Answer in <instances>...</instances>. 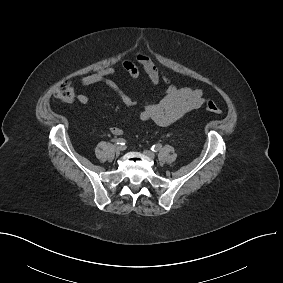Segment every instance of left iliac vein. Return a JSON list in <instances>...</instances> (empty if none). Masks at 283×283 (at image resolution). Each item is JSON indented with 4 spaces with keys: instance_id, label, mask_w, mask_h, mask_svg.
Returning <instances> with one entry per match:
<instances>
[{
    "instance_id": "obj_1",
    "label": "left iliac vein",
    "mask_w": 283,
    "mask_h": 283,
    "mask_svg": "<svg viewBox=\"0 0 283 283\" xmlns=\"http://www.w3.org/2000/svg\"><path fill=\"white\" fill-rule=\"evenodd\" d=\"M144 154H145L148 158H151V159H154V158H155V154H154L152 151L145 150V151H144Z\"/></svg>"
}]
</instances>
